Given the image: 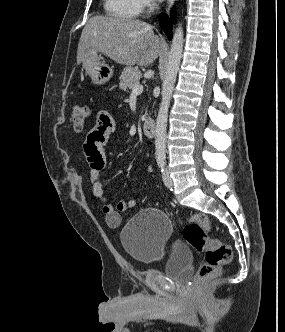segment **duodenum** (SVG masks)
I'll list each match as a JSON object with an SVG mask.
<instances>
[{"label": "duodenum", "instance_id": "1", "mask_svg": "<svg viewBox=\"0 0 285 332\" xmlns=\"http://www.w3.org/2000/svg\"><path fill=\"white\" fill-rule=\"evenodd\" d=\"M143 133L148 138H153L156 133V125L155 122L151 119H147L144 121L142 125Z\"/></svg>", "mask_w": 285, "mask_h": 332}]
</instances>
